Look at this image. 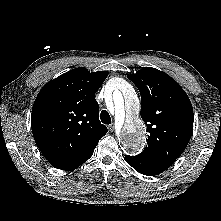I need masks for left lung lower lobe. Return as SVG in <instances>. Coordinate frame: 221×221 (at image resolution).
I'll list each match as a JSON object with an SVG mask.
<instances>
[{
    "instance_id": "0a47b994",
    "label": "left lung lower lobe",
    "mask_w": 221,
    "mask_h": 221,
    "mask_svg": "<svg viewBox=\"0 0 221 221\" xmlns=\"http://www.w3.org/2000/svg\"><path fill=\"white\" fill-rule=\"evenodd\" d=\"M124 159L136 171L148 176H154L160 174L169 167L168 164L141 155L137 156L126 155Z\"/></svg>"
}]
</instances>
